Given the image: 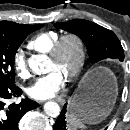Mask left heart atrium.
I'll list each match as a JSON object with an SVG mask.
<instances>
[{"label": "left heart atrium", "instance_id": "left-heart-atrium-1", "mask_svg": "<svg viewBox=\"0 0 130 130\" xmlns=\"http://www.w3.org/2000/svg\"><path fill=\"white\" fill-rule=\"evenodd\" d=\"M65 76L57 69L50 70L46 75L37 78L27 88V94L37 100H46L55 96L63 87Z\"/></svg>", "mask_w": 130, "mask_h": 130}]
</instances>
